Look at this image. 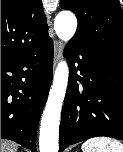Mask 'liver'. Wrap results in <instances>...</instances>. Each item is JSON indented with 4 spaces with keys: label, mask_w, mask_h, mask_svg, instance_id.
<instances>
[{
    "label": "liver",
    "mask_w": 123,
    "mask_h": 152,
    "mask_svg": "<svg viewBox=\"0 0 123 152\" xmlns=\"http://www.w3.org/2000/svg\"><path fill=\"white\" fill-rule=\"evenodd\" d=\"M18 145L12 141L1 139V152H17Z\"/></svg>",
    "instance_id": "1"
}]
</instances>
